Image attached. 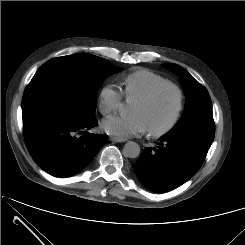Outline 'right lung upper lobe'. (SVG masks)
Segmentation results:
<instances>
[{
    "instance_id": "cb5924a9",
    "label": "right lung upper lobe",
    "mask_w": 245,
    "mask_h": 245,
    "mask_svg": "<svg viewBox=\"0 0 245 245\" xmlns=\"http://www.w3.org/2000/svg\"><path fill=\"white\" fill-rule=\"evenodd\" d=\"M52 60L53 59L43 64L36 72L31 81L42 82L44 80H47V82L49 83L63 82L65 72L51 67Z\"/></svg>"
}]
</instances>
